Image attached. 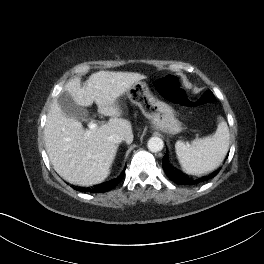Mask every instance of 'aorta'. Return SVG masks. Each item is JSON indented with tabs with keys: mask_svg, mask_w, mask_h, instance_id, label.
<instances>
[{
	"mask_svg": "<svg viewBox=\"0 0 264 264\" xmlns=\"http://www.w3.org/2000/svg\"><path fill=\"white\" fill-rule=\"evenodd\" d=\"M148 149L151 152H159L163 149L164 147V142L161 138L159 137H151L147 143Z\"/></svg>",
	"mask_w": 264,
	"mask_h": 264,
	"instance_id": "obj_1",
	"label": "aorta"
}]
</instances>
